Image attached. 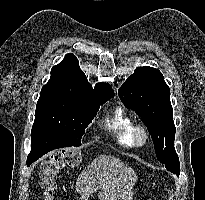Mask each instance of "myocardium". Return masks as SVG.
<instances>
[{
  "label": "myocardium",
  "mask_w": 205,
  "mask_h": 200,
  "mask_svg": "<svg viewBox=\"0 0 205 200\" xmlns=\"http://www.w3.org/2000/svg\"><path fill=\"white\" fill-rule=\"evenodd\" d=\"M132 143L136 147H143L149 141V132L142 124L134 125L131 131Z\"/></svg>",
  "instance_id": "1"
}]
</instances>
